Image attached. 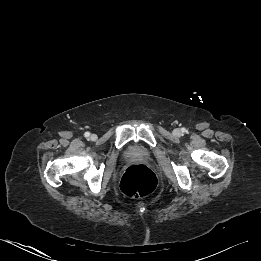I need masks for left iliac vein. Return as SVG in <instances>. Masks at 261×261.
Segmentation results:
<instances>
[{
    "label": "left iliac vein",
    "instance_id": "4c4485c4",
    "mask_svg": "<svg viewBox=\"0 0 261 261\" xmlns=\"http://www.w3.org/2000/svg\"><path fill=\"white\" fill-rule=\"evenodd\" d=\"M174 134L175 135H180V130H178V129L174 130Z\"/></svg>",
    "mask_w": 261,
    "mask_h": 261
}]
</instances>
